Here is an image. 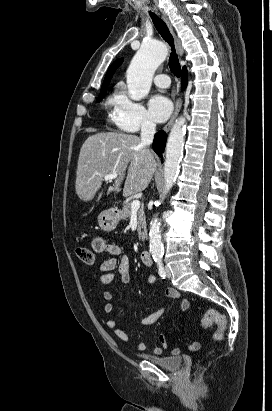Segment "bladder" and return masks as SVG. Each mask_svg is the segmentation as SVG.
<instances>
[{"label": "bladder", "mask_w": 272, "mask_h": 411, "mask_svg": "<svg viewBox=\"0 0 272 411\" xmlns=\"http://www.w3.org/2000/svg\"><path fill=\"white\" fill-rule=\"evenodd\" d=\"M143 358L169 370L179 369L183 363V358L181 356L147 354L143 355Z\"/></svg>", "instance_id": "31cf9c89"}]
</instances>
